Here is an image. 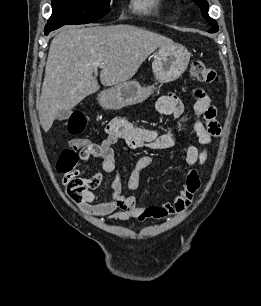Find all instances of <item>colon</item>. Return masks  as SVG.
<instances>
[{
	"instance_id": "colon-1",
	"label": "colon",
	"mask_w": 261,
	"mask_h": 306,
	"mask_svg": "<svg viewBox=\"0 0 261 306\" xmlns=\"http://www.w3.org/2000/svg\"><path fill=\"white\" fill-rule=\"evenodd\" d=\"M192 79L199 83H216L219 80L218 74L207 67L201 60H194L190 66ZM86 120L82 113L76 112L71 115L68 121V131L71 135H79L85 128ZM77 150L88 157L100 158L102 150L98 144L91 143L87 139L74 138L70 141L69 148L65 149L58 160V171L64 174V184L69 197L75 203H81L83 191L90 186L89 183L76 170L78 163Z\"/></svg>"
}]
</instances>
